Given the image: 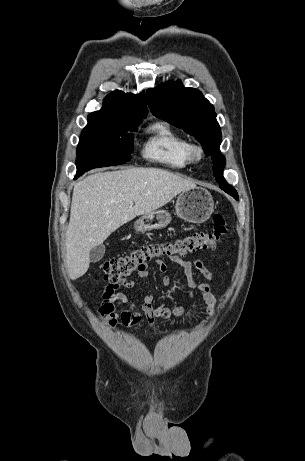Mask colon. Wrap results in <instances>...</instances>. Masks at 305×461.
<instances>
[{
	"label": "colon",
	"instance_id": "1",
	"mask_svg": "<svg viewBox=\"0 0 305 461\" xmlns=\"http://www.w3.org/2000/svg\"><path fill=\"white\" fill-rule=\"evenodd\" d=\"M213 221L211 232L197 231L172 241L144 244L128 255L105 260L102 264L104 278L111 282L122 281L144 269L152 260L215 249L228 236V228L220 213L214 215Z\"/></svg>",
	"mask_w": 305,
	"mask_h": 461
}]
</instances>
